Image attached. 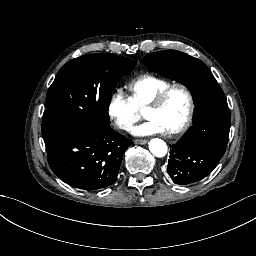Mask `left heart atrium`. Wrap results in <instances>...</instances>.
<instances>
[{"mask_svg":"<svg viewBox=\"0 0 256 256\" xmlns=\"http://www.w3.org/2000/svg\"><path fill=\"white\" fill-rule=\"evenodd\" d=\"M142 129L146 133L151 134H167L170 132L168 124L160 117L152 116L142 125Z\"/></svg>","mask_w":256,"mask_h":256,"instance_id":"obj_1","label":"left heart atrium"}]
</instances>
